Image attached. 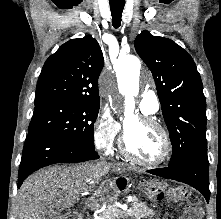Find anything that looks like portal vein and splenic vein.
Returning a JSON list of instances; mask_svg holds the SVG:
<instances>
[{"instance_id": "1", "label": "portal vein and splenic vein", "mask_w": 221, "mask_h": 219, "mask_svg": "<svg viewBox=\"0 0 221 219\" xmlns=\"http://www.w3.org/2000/svg\"><path fill=\"white\" fill-rule=\"evenodd\" d=\"M126 212H130L129 210H127ZM123 212H121L120 214H122Z\"/></svg>"}]
</instances>
